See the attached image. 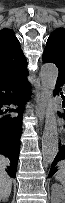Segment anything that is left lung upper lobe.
<instances>
[{
	"label": "left lung upper lobe",
	"instance_id": "obj_1",
	"mask_svg": "<svg viewBox=\"0 0 65 203\" xmlns=\"http://www.w3.org/2000/svg\"><path fill=\"white\" fill-rule=\"evenodd\" d=\"M43 61L54 63L59 74L65 75V29H56L48 38Z\"/></svg>",
	"mask_w": 65,
	"mask_h": 203
}]
</instances>
